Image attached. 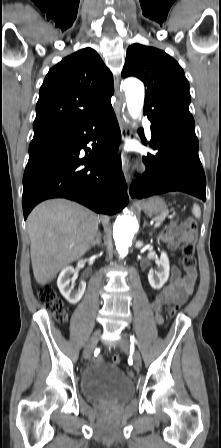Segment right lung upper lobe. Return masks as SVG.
I'll return each mask as SVG.
<instances>
[{
  "label": "right lung upper lobe",
  "mask_w": 221,
  "mask_h": 448,
  "mask_svg": "<svg viewBox=\"0 0 221 448\" xmlns=\"http://www.w3.org/2000/svg\"><path fill=\"white\" fill-rule=\"evenodd\" d=\"M113 92V76L95 50L65 57L49 70L40 88L33 139L106 107Z\"/></svg>",
  "instance_id": "right-lung-upper-lobe-1"
}]
</instances>
